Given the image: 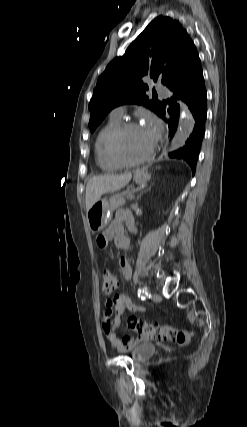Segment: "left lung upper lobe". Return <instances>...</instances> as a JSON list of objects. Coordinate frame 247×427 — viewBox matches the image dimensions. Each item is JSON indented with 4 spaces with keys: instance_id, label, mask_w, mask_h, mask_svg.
I'll return each mask as SVG.
<instances>
[{
    "instance_id": "left-lung-upper-lobe-1",
    "label": "left lung upper lobe",
    "mask_w": 247,
    "mask_h": 427,
    "mask_svg": "<svg viewBox=\"0 0 247 427\" xmlns=\"http://www.w3.org/2000/svg\"><path fill=\"white\" fill-rule=\"evenodd\" d=\"M198 58L193 41L178 21L164 16L155 18L98 78L89 103L91 132L114 107L122 104H143L159 115L163 105L147 97L148 86L143 79L161 80L168 87Z\"/></svg>"
}]
</instances>
